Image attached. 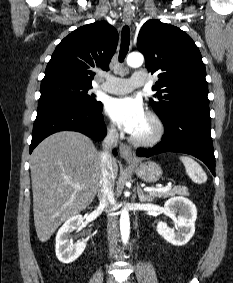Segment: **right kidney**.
I'll use <instances>...</instances> for the list:
<instances>
[{
  "label": "right kidney",
  "instance_id": "obj_1",
  "mask_svg": "<svg viewBox=\"0 0 233 283\" xmlns=\"http://www.w3.org/2000/svg\"><path fill=\"white\" fill-rule=\"evenodd\" d=\"M83 222L82 215H75L69 218L56 235V256L62 263L69 264L74 262L85 250L87 240H80L74 243L69 240L70 233L74 229L81 228Z\"/></svg>",
  "mask_w": 233,
  "mask_h": 283
}]
</instances>
